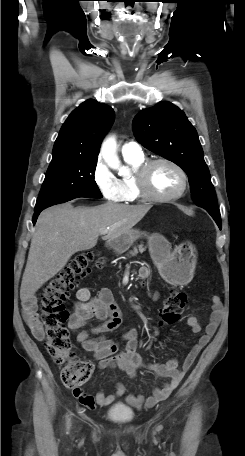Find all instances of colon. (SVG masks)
Listing matches in <instances>:
<instances>
[{
  "label": "colon",
  "instance_id": "colon-1",
  "mask_svg": "<svg viewBox=\"0 0 245 456\" xmlns=\"http://www.w3.org/2000/svg\"><path fill=\"white\" fill-rule=\"evenodd\" d=\"M93 252L76 255L42 289L40 312L46 332V348L52 359L63 365L61 379L67 387L76 389L88 381L92 372L91 362L78 358L73 350L70 334L65 326L69 313L65 301L78 282L85 277L94 260ZM187 296L171 290L161 310V324H174L182 314Z\"/></svg>",
  "mask_w": 245,
  "mask_h": 456
}]
</instances>
